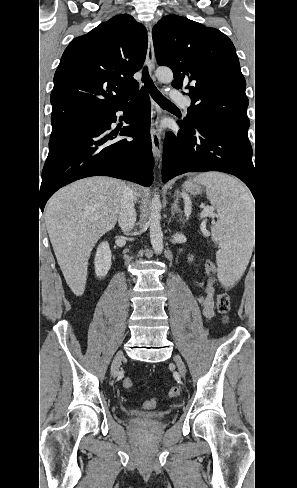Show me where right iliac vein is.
Masks as SVG:
<instances>
[{"label": "right iliac vein", "mask_w": 297, "mask_h": 488, "mask_svg": "<svg viewBox=\"0 0 297 488\" xmlns=\"http://www.w3.org/2000/svg\"><path fill=\"white\" fill-rule=\"evenodd\" d=\"M123 357H124V355H123V352L122 351H119L116 354V356H115V358H114V360L112 362V365H111V374L113 376L118 373L119 367L121 365V361H122Z\"/></svg>", "instance_id": "1"}]
</instances>
